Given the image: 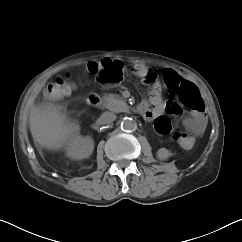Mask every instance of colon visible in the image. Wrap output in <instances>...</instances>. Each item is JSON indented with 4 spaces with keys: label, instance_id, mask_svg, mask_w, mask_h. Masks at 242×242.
Segmentation results:
<instances>
[{
    "label": "colon",
    "instance_id": "1",
    "mask_svg": "<svg viewBox=\"0 0 242 242\" xmlns=\"http://www.w3.org/2000/svg\"><path fill=\"white\" fill-rule=\"evenodd\" d=\"M88 71L97 75V81L101 85H113L121 81L123 69L116 62L104 61L102 63L91 62L88 64ZM138 74L139 71H136ZM143 82L149 87L154 96L160 93V86L157 76L150 70L140 75ZM165 84L170 89L178 90V97L183 106L191 111L200 113L203 110V102L197 87L189 81L175 76L172 72L164 75ZM76 88L75 84L69 79L58 78L48 84L45 88L44 95L47 100H57L70 94ZM155 130L161 135L172 134L174 140L178 132L172 131L171 121L165 116H157L154 121Z\"/></svg>",
    "mask_w": 242,
    "mask_h": 242
}]
</instances>
